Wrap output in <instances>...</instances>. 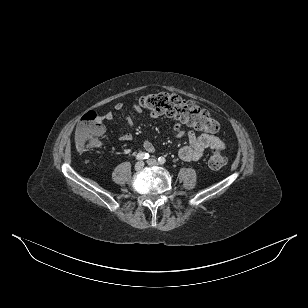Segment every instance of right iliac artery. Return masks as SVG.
Instances as JSON below:
<instances>
[{
  "instance_id": "82829eb1",
  "label": "right iliac artery",
  "mask_w": 308,
  "mask_h": 308,
  "mask_svg": "<svg viewBox=\"0 0 308 308\" xmlns=\"http://www.w3.org/2000/svg\"><path fill=\"white\" fill-rule=\"evenodd\" d=\"M149 158V154L148 153H144V152H140L137 154L136 159L137 160H145Z\"/></svg>"
}]
</instances>
